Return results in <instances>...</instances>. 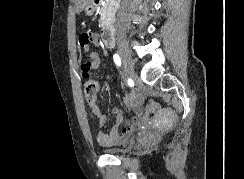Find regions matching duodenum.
<instances>
[{
	"instance_id": "410a0bca",
	"label": "duodenum",
	"mask_w": 244,
	"mask_h": 179,
	"mask_svg": "<svg viewBox=\"0 0 244 179\" xmlns=\"http://www.w3.org/2000/svg\"><path fill=\"white\" fill-rule=\"evenodd\" d=\"M106 0H93L92 9L96 10L97 6H101ZM102 40L107 47H113L116 43L115 31L110 22L103 25V31L101 33Z\"/></svg>"
}]
</instances>
